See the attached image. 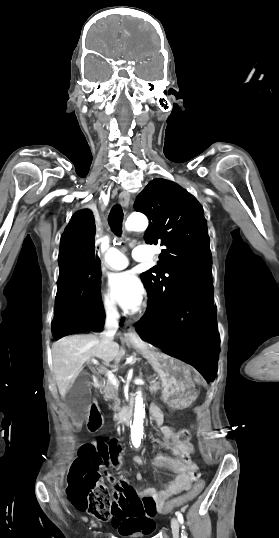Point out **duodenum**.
<instances>
[{
    "instance_id": "1",
    "label": "duodenum",
    "mask_w": 279,
    "mask_h": 538,
    "mask_svg": "<svg viewBox=\"0 0 279 538\" xmlns=\"http://www.w3.org/2000/svg\"><path fill=\"white\" fill-rule=\"evenodd\" d=\"M91 383L95 388H98L104 383V376L98 368H93L91 373ZM135 405V402L131 399H128L127 403L122 405V408L118 412L113 414L115 419H112V422L125 423L124 427H130V415L133 413L132 407ZM152 415H159L161 413L160 405L154 404L150 410ZM120 417V418H119ZM118 427H121V424H118Z\"/></svg>"
}]
</instances>
